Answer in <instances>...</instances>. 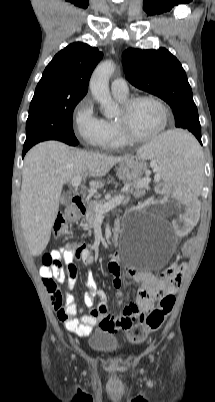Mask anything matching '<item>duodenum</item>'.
I'll list each match as a JSON object with an SVG mask.
<instances>
[{
  "mask_svg": "<svg viewBox=\"0 0 215 402\" xmlns=\"http://www.w3.org/2000/svg\"><path fill=\"white\" fill-rule=\"evenodd\" d=\"M84 212L85 204L79 197H74L66 209V215L71 221L79 220L83 216Z\"/></svg>",
  "mask_w": 215,
  "mask_h": 402,
  "instance_id": "obj_1",
  "label": "duodenum"
}]
</instances>
